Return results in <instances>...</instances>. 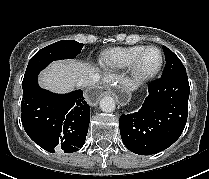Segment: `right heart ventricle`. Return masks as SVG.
Returning <instances> with one entry per match:
<instances>
[{
    "label": "right heart ventricle",
    "mask_w": 209,
    "mask_h": 179,
    "mask_svg": "<svg viewBox=\"0 0 209 179\" xmlns=\"http://www.w3.org/2000/svg\"><path fill=\"white\" fill-rule=\"evenodd\" d=\"M144 47L143 45H133L107 49L101 53L99 65L106 71H122L130 66L134 57Z\"/></svg>",
    "instance_id": "e07e8e85"
}]
</instances>
